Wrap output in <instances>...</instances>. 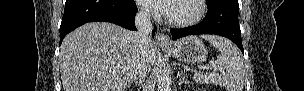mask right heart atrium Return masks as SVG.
<instances>
[{
  "mask_svg": "<svg viewBox=\"0 0 304 91\" xmlns=\"http://www.w3.org/2000/svg\"><path fill=\"white\" fill-rule=\"evenodd\" d=\"M143 13H144L145 15H149V12L146 11V10H145Z\"/></svg>",
  "mask_w": 304,
  "mask_h": 91,
  "instance_id": "1",
  "label": "right heart atrium"
}]
</instances>
